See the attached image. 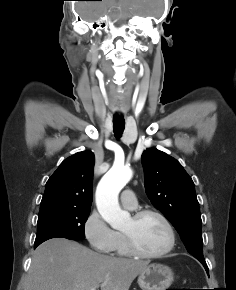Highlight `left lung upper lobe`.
Here are the masks:
<instances>
[{"mask_svg": "<svg viewBox=\"0 0 236 290\" xmlns=\"http://www.w3.org/2000/svg\"><path fill=\"white\" fill-rule=\"evenodd\" d=\"M141 159L148 198L175 227L187 251L207 270L202 220L192 179L176 159L160 150L147 149Z\"/></svg>", "mask_w": 236, "mask_h": 290, "instance_id": "left-lung-upper-lobe-1", "label": "left lung upper lobe"}]
</instances>
